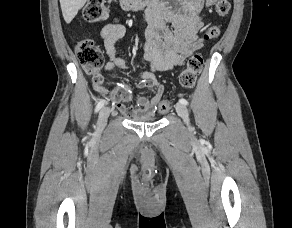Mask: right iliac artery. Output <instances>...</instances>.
I'll use <instances>...</instances> for the list:
<instances>
[{"label":"right iliac artery","mask_w":292,"mask_h":228,"mask_svg":"<svg viewBox=\"0 0 292 228\" xmlns=\"http://www.w3.org/2000/svg\"><path fill=\"white\" fill-rule=\"evenodd\" d=\"M105 104V100H100L95 107V112H98Z\"/></svg>","instance_id":"obj_1"}]
</instances>
